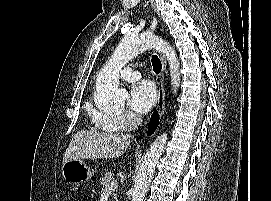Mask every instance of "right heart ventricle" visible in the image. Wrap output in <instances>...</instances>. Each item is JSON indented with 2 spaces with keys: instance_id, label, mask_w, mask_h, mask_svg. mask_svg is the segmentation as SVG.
Masks as SVG:
<instances>
[{
  "instance_id": "e07e8e85",
  "label": "right heart ventricle",
  "mask_w": 271,
  "mask_h": 201,
  "mask_svg": "<svg viewBox=\"0 0 271 201\" xmlns=\"http://www.w3.org/2000/svg\"><path fill=\"white\" fill-rule=\"evenodd\" d=\"M89 110V109H88ZM91 118H92V122L100 129L105 130V131H116L118 130V128L104 124V123H98L95 119L96 114L98 113H94L92 111H89Z\"/></svg>"
}]
</instances>
